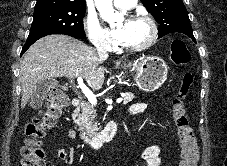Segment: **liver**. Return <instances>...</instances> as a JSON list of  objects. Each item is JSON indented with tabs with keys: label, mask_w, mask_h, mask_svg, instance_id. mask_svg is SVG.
I'll return each instance as SVG.
<instances>
[{
	"label": "liver",
	"mask_w": 227,
	"mask_h": 166,
	"mask_svg": "<svg viewBox=\"0 0 227 166\" xmlns=\"http://www.w3.org/2000/svg\"><path fill=\"white\" fill-rule=\"evenodd\" d=\"M101 63L95 49L73 37L53 34L39 39L27 50L20 66L21 107L42 79L82 77L93 90H100L105 79Z\"/></svg>",
	"instance_id": "6515ba94"
}]
</instances>
